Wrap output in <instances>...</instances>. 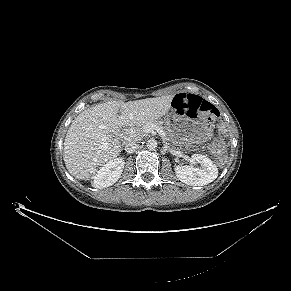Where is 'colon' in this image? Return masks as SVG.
<instances>
[{
	"mask_svg": "<svg viewBox=\"0 0 291 291\" xmlns=\"http://www.w3.org/2000/svg\"><path fill=\"white\" fill-rule=\"evenodd\" d=\"M172 107L178 114L189 117L203 115L214 119L219 116V110L212 103L199 96L178 94L172 101ZM211 151L215 155L219 166L226 164V144L223 140L214 141L211 145Z\"/></svg>",
	"mask_w": 291,
	"mask_h": 291,
	"instance_id": "5ec220e1",
	"label": "colon"
}]
</instances>
